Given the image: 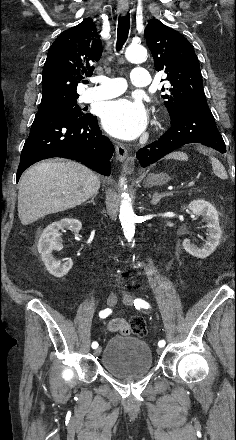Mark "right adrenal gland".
Masks as SVG:
<instances>
[{"label": "right adrenal gland", "mask_w": 236, "mask_h": 440, "mask_svg": "<svg viewBox=\"0 0 236 440\" xmlns=\"http://www.w3.org/2000/svg\"><path fill=\"white\" fill-rule=\"evenodd\" d=\"M96 195H97V194H95V195L91 198L90 201H87L86 204H87V203H92L93 205H96L95 202H94V199H95Z\"/></svg>", "instance_id": "1"}]
</instances>
